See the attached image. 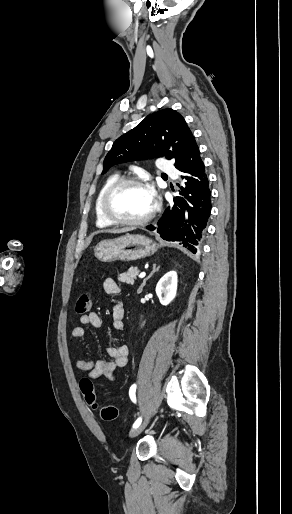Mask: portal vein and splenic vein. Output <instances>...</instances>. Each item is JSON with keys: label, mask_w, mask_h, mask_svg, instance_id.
Instances as JSON below:
<instances>
[{"label": "portal vein and splenic vein", "mask_w": 292, "mask_h": 514, "mask_svg": "<svg viewBox=\"0 0 292 514\" xmlns=\"http://www.w3.org/2000/svg\"><path fill=\"white\" fill-rule=\"evenodd\" d=\"M144 276H146L145 272H142V274H140L139 278H144Z\"/></svg>", "instance_id": "1"}]
</instances>
